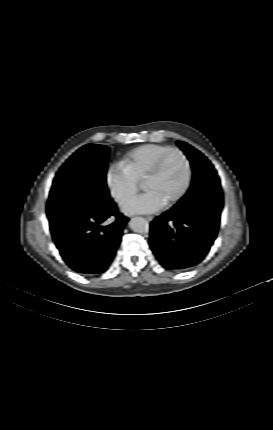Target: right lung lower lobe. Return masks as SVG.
I'll list each match as a JSON object with an SVG mask.
<instances>
[{
	"label": "right lung lower lobe",
	"mask_w": 273,
	"mask_h": 430,
	"mask_svg": "<svg viewBox=\"0 0 273 430\" xmlns=\"http://www.w3.org/2000/svg\"><path fill=\"white\" fill-rule=\"evenodd\" d=\"M115 215L116 221L103 222ZM127 218L115 203L70 215L50 223L53 240L67 265L85 276L105 272L120 244Z\"/></svg>",
	"instance_id": "obj_1"
}]
</instances>
